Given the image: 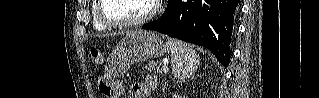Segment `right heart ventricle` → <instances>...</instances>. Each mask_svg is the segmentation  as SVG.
Instances as JSON below:
<instances>
[{"mask_svg":"<svg viewBox=\"0 0 319 98\" xmlns=\"http://www.w3.org/2000/svg\"><path fill=\"white\" fill-rule=\"evenodd\" d=\"M97 6H98V1H94L93 6H92V24L93 28L97 31H104L108 29V26L103 24L97 15Z\"/></svg>","mask_w":319,"mask_h":98,"instance_id":"right-heart-ventricle-1","label":"right heart ventricle"}]
</instances>
